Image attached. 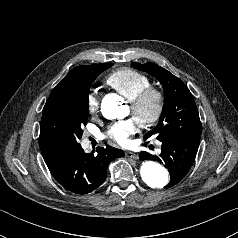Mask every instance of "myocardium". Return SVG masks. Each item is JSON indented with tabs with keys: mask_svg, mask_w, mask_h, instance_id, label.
<instances>
[{
	"mask_svg": "<svg viewBox=\"0 0 238 238\" xmlns=\"http://www.w3.org/2000/svg\"><path fill=\"white\" fill-rule=\"evenodd\" d=\"M149 107L150 110L146 112ZM130 108L142 128L151 127L162 115L164 95L160 89L149 85L130 100Z\"/></svg>",
	"mask_w": 238,
	"mask_h": 238,
	"instance_id": "myocardium-1",
	"label": "myocardium"
}]
</instances>
